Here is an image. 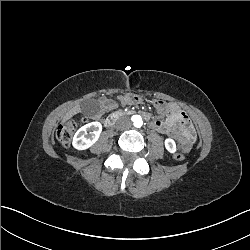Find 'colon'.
Segmentation results:
<instances>
[{
    "label": "colon",
    "mask_w": 250,
    "mask_h": 250,
    "mask_svg": "<svg viewBox=\"0 0 250 250\" xmlns=\"http://www.w3.org/2000/svg\"><path fill=\"white\" fill-rule=\"evenodd\" d=\"M127 98H131V103H142V98H139V93H127ZM156 105H167V100H156ZM96 104H91L89 109L95 111ZM91 121L90 116H83L80 120L74 118L66 119L56 130V138L63 145L68 146L72 141L73 134L78 127L79 122L87 123ZM173 160L182 161L185 159V154L182 152H175L172 154Z\"/></svg>",
    "instance_id": "obj_1"
}]
</instances>
